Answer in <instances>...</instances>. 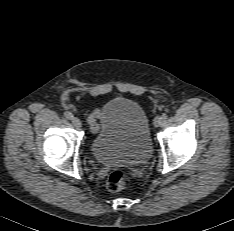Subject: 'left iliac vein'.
I'll list each match as a JSON object with an SVG mask.
<instances>
[{"label": "left iliac vein", "instance_id": "obj_1", "mask_svg": "<svg viewBox=\"0 0 234 231\" xmlns=\"http://www.w3.org/2000/svg\"><path fill=\"white\" fill-rule=\"evenodd\" d=\"M161 125V117L160 116H156L154 118V126L155 127H159Z\"/></svg>", "mask_w": 234, "mask_h": 231}]
</instances>
